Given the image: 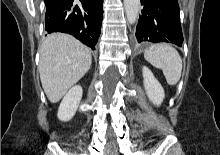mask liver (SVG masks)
I'll return each instance as SVG.
<instances>
[{"mask_svg":"<svg viewBox=\"0 0 220 155\" xmlns=\"http://www.w3.org/2000/svg\"><path fill=\"white\" fill-rule=\"evenodd\" d=\"M91 62L90 49L74 37L48 35L40 47L39 72L49 101L58 102L86 74Z\"/></svg>","mask_w":220,"mask_h":155,"instance_id":"6515ba94","label":"liver"}]
</instances>
